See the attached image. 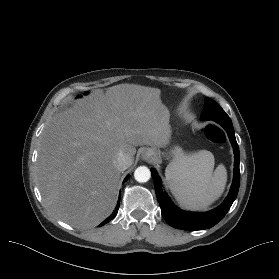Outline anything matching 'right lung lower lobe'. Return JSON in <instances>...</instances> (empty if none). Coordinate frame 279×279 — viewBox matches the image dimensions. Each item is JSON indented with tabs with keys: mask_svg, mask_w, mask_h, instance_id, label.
Segmentation results:
<instances>
[{
	"mask_svg": "<svg viewBox=\"0 0 279 279\" xmlns=\"http://www.w3.org/2000/svg\"><path fill=\"white\" fill-rule=\"evenodd\" d=\"M127 178L128 177H126L125 181L127 180ZM118 209H119V203L116 206L115 211L104 222H102L99 226H102V225L106 224L107 222H109L110 220H112L116 216V214L118 212Z\"/></svg>",
	"mask_w": 279,
	"mask_h": 279,
	"instance_id": "98d812e1",
	"label": "right lung lower lobe"
}]
</instances>
